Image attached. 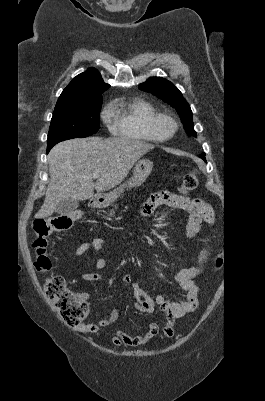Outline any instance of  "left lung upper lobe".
<instances>
[{
  "label": "left lung upper lobe",
  "mask_w": 265,
  "mask_h": 401,
  "mask_svg": "<svg viewBox=\"0 0 265 401\" xmlns=\"http://www.w3.org/2000/svg\"><path fill=\"white\" fill-rule=\"evenodd\" d=\"M139 88L176 108L187 134L196 137V132L193 129L191 108L181 92L170 81L160 77H151L142 83Z\"/></svg>",
  "instance_id": "obj_1"
}]
</instances>
